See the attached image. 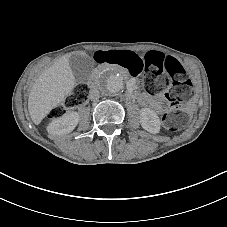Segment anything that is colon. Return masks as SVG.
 I'll list each match as a JSON object with an SVG mask.
<instances>
[{
    "mask_svg": "<svg viewBox=\"0 0 227 227\" xmlns=\"http://www.w3.org/2000/svg\"><path fill=\"white\" fill-rule=\"evenodd\" d=\"M94 60L97 63L120 66L134 76L145 71L144 84L146 89L151 94H161L164 102L170 107L178 106L180 102L192 94V83L187 78L185 69L172 57H162L155 52H149L141 57L134 52L113 50L96 52ZM164 73L168 74L173 82L172 88L167 92H164L167 85ZM88 94V85L79 84L61 105L51 111V118H58L67 111L84 105L88 100ZM185 121L186 115L177 109L171 110L163 116V124L170 131L181 129Z\"/></svg>",
    "mask_w": 227,
    "mask_h": 227,
    "instance_id": "1",
    "label": "colon"
}]
</instances>
